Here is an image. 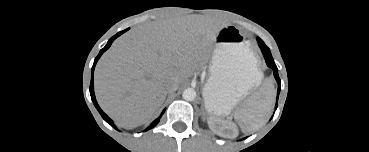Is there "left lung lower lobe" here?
Returning a JSON list of instances; mask_svg holds the SVG:
<instances>
[{"instance_id":"0a47b994","label":"left lung lower lobe","mask_w":369,"mask_h":152,"mask_svg":"<svg viewBox=\"0 0 369 152\" xmlns=\"http://www.w3.org/2000/svg\"><path fill=\"white\" fill-rule=\"evenodd\" d=\"M257 41H258L259 47L261 48V51L264 55V58L266 60L267 65L270 68H272L273 71H274V76H275V78L278 82V93L277 94L279 95V92H280V79H279V76H278L277 66L274 63V60L271 56L269 48L264 44V42L260 38H257ZM278 95H277V99H278ZM276 108H277V104H276Z\"/></svg>"}]
</instances>
